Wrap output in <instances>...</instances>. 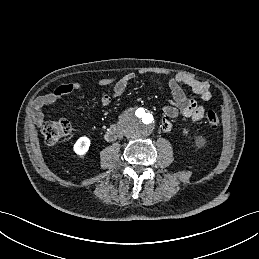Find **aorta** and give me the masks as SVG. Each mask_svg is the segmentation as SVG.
Returning a JSON list of instances; mask_svg holds the SVG:
<instances>
[{"label":"aorta","instance_id":"obj_1","mask_svg":"<svg viewBox=\"0 0 259 259\" xmlns=\"http://www.w3.org/2000/svg\"><path fill=\"white\" fill-rule=\"evenodd\" d=\"M154 123L150 110L134 108L122 117L120 127L126 136L139 139L148 137L153 132Z\"/></svg>","mask_w":259,"mask_h":259}]
</instances>
